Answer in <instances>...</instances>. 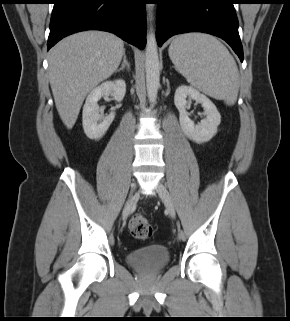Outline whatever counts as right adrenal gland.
<instances>
[{
  "instance_id": "right-adrenal-gland-1",
  "label": "right adrenal gland",
  "mask_w": 290,
  "mask_h": 321,
  "mask_svg": "<svg viewBox=\"0 0 290 321\" xmlns=\"http://www.w3.org/2000/svg\"><path fill=\"white\" fill-rule=\"evenodd\" d=\"M125 68H127L128 71L130 70V63L128 62L126 54L124 52V54H123V62L121 63L120 68L117 69L115 72L117 73V72L123 71Z\"/></svg>"
}]
</instances>
